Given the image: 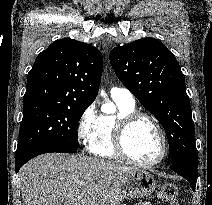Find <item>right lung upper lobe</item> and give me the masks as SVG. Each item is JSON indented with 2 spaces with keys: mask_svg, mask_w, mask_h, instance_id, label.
<instances>
[{
  "mask_svg": "<svg viewBox=\"0 0 212 205\" xmlns=\"http://www.w3.org/2000/svg\"><path fill=\"white\" fill-rule=\"evenodd\" d=\"M102 69V55L94 46L70 38L55 41L37 56L28 73L23 102L90 105Z\"/></svg>",
  "mask_w": 212,
  "mask_h": 205,
  "instance_id": "cb5924a9",
  "label": "right lung upper lobe"
}]
</instances>
